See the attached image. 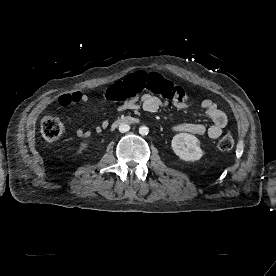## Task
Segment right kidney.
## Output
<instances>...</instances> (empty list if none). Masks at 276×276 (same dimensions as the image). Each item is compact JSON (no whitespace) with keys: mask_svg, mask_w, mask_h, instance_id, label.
I'll return each mask as SVG.
<instances>
[{"mask_svg":"<svg viewBox=\"0 0 276 276\" xmlns=\"http://www.w3.org/2000/svg\"><path fill=\"white\" fill-rule=\"evenodd\" d=\"M87 147H88V143H81V146H80L81 149H85Z\"/></svg>","mask_w":276,"mask_h":276,"instance_id":"right-kidney-1","label":"right kidney"}]
</instances>
